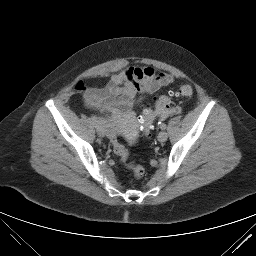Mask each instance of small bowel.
<instances>
[{
  "mask_svg": "<svg viewBox=\"0 0 256 256\" xmlns=\"http://www.w3.org/2000/svg\"><path fill=\"white\" fill-rule=\"evenodd\" d=\"M173 81V75L156 74L151 67H129L114 74L103 88L90 90L86 101L91 107L108 113L114 125H118L134 117L141 94L155 92ZM176 112V108H170L157 114L163 119Z\"/></svg>",
  "mask_w": 256,
  "mask_h": 256,
  "instance_id": "obj_1",
  "label": "small bowel"
}]
</instances>
